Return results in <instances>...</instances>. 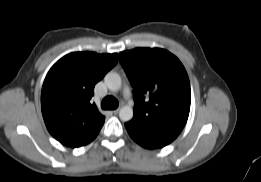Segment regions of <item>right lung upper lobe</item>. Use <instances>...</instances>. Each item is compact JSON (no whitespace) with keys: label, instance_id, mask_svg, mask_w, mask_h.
<instances>
[{"label":"right lung upper lobe","instance_id":"right-lung-upper-lobe-1","mask_svg":"<svg viewBox=\"0 0 261 182\" xmlns=\"http://www.w3.org/2000/svg\"><path fill=\"white\" fill-rule=\"evenodd\" d=\"M117 61V53L74 52L51 67L42 87L41 109L48 131L61 144L80 147L98 135L105 117L90 99L95 84Z\"/></svg>","mask_w":261,"mask_h":182}]
</instances>
